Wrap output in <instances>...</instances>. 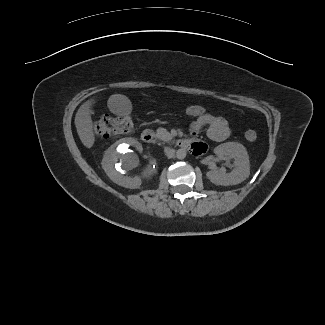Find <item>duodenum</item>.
Wrapping results in <instances>:
<instances>
[{
    "instance_id": "410a0bca",
    "label": "duodenum",
    "mask_w": 325,
    "mask_h": 325,
    "mask_svg": "<svg viewBox=\"0 0 325 325\" xmlns=\"http://www.w3.org/2000/svg\"><path fill=\"white\" fill-rule=\"evenodd\" d=\"M141 139L143 142H145L147 144H152L155 141V134L152 130L146 129L142 132ZM176 143L180 148H190V146L192 144L187 139H179V140H177Z\"/></svg>"
}]
</instances>
